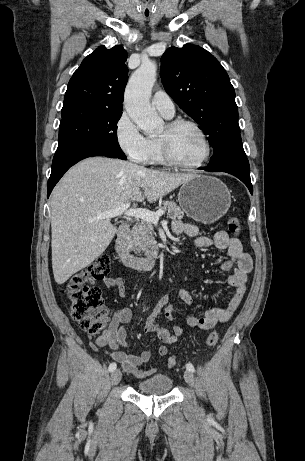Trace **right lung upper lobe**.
<instances>
[{"label": "right lung upper lobe", "instance_id": "right-lung-upper-lobe-1", "mask_svg": "<svg viewBox=\"0 0 305 461\" xmlns=\"http://www.w3.org/2000/svg\"><path fill=\"white\" fill-rule=\"evenodd\" d=\"M127 57L120 45L111 49L101 46L88 55L68 83L63 108L90 105L122 111Z\"/></svg>", "mask_w": 305, "mask_h": 461}]
</instances>
